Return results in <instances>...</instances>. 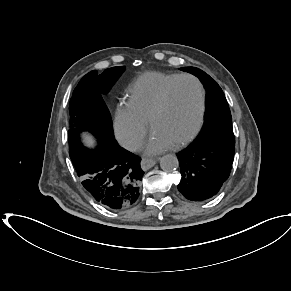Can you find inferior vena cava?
Masks as SVG:
<instances>
[{
  "label": "inferior vena cava",
  "instance_id": "1",
  "mask_svg": "<svg viewBox=\"0 0 291 291\" xmlns=\"http://www.w3.org/2000/svg\"><path fill=\"white\" fill-rule=\"evenodd\" d=\"M123 147L130 151H137L142 149L143 141L140 138H132L123 142Z\"/></svg>",
  "mask_w": 291,
  "mask_h": 291
}]
</instances>
